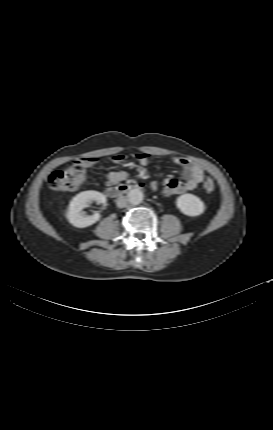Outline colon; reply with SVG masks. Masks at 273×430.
Wrapping results in <instances>:
<instances>
[{
  "label": "colon",
  "instance_id": "obj_1",
  "mask_svg": "<svg viewBox=\"0 0 273 430\" xmlns=\"http://www.w3.org/2000/svg\"><path fill=\"white\" fill-rule=\"evenodd\" d=\"M79 160H76L70 167L52 172L48 178V185L51 190L57 192H67L76 190L86 179V168ZM216 188L215 182L207 178L203 184V189L210 193Z\"/></svg>",
  "mask_w": 273,
  "mask_h": 430
}]
</instances>
